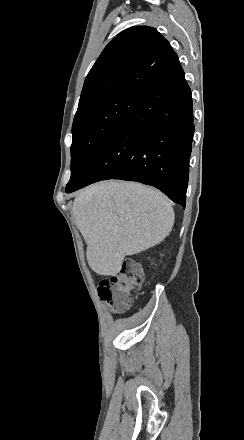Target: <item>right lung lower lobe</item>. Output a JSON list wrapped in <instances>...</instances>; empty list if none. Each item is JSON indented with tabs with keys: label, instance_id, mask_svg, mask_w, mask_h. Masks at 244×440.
Returning <instances> with one entry per match:
<instances>
[{
	"label": "right lung lower lobe",
	"instance_id": "obj_1",
	"mask_svg": "<svg viewBox=\"0 0 244 440\" xmlns=\"http://www.w3.org/2000/svg\"><path fill=\"white\" fill-rule=\"evenodd\" d=\"M192 105L181 67L139 99L66 192L106 179L138 181L185 207Z\"/></svg>",
	"mask_w": 244,
	"mask_h": 440
}]
</instances>
